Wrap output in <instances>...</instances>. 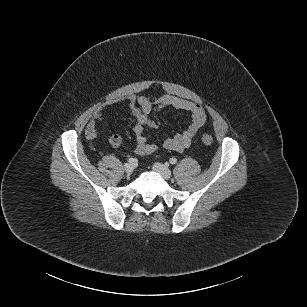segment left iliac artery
Here are the masks:
<instances>
[{
	"instance_id": "1",
	"label": "left iliac artery",
	"mask_w": 307,
	"mask_h": 307,
	"mask_svg": "<svg viewBox=\"0 0 307 307\" xmlns=\"http://www.w3.org/2000/svg\"><path fill=\"white\" fill-rule=\"evenodd\" d=\"M169 162H170V164L174 165V164L177 163V159L172 157V158H170Z\"/></svg>"
}]
</instances>
